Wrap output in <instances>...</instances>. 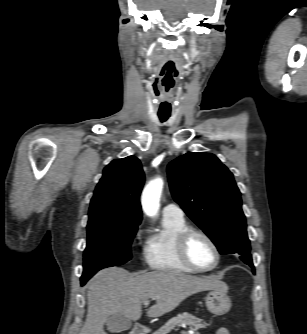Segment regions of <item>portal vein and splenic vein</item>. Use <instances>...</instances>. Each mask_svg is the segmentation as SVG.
Listing matches in <instances>:
<instances>
[{"instance_id": "obj_1", "label": "portal vein and splenic vein", "mask_w": 307, "mask_h": 334, "mask_svg": "<svg viewBox=\"0 0 307 334\" xmlns=\"http://www.w3.org/2000/svg\"><path fill=\"white\" fill-rule=\"evenodd\" d=\"M149 303H150V301L146 300V301L143 302V305H148Z\"/></svg>"}]
</instances>
